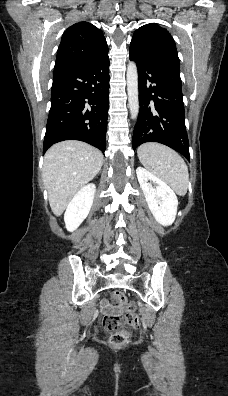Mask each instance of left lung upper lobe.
<instances>
[{
	"mask_svg": "<svg viewBox=\"0 0 228 396\" xmlns=\"http://www.w3.org/2000/svg\"><path fill=\"white\" fill-rule=\"evenodd\" d=\"M130 48L152 57L161 58L180 67L174 39L156 23L146 24L135 31Z\"/></svg>",
	"mask_w": 228,
	"mask_h": 396,
	"instance_id": "obj_1",
	"label": "left lung upper lobe"
}]
</instances>
